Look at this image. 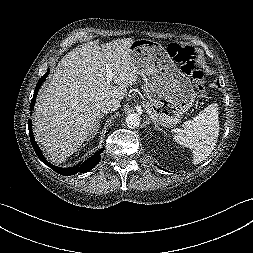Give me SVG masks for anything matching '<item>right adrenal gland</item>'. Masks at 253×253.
I'll use <instances>...</instances> for the list:
<instances>
[{
    "label": "right adrenal gland",
    "instance_id": "1",
    "mask_svg": "<svg viewBox=\"0 0 253 253\" xmlns=\"http://www.w3.org/2000/svg\"><path fill=\"white\" fill-rule=\"evenodd\" d=\"M104 117V114L100 115V118L97 122V125H96V128L94 129V133L96 134V132L98 131L99 127H100V124H101V118Z\"/></svg>",
    "mask_w": 253,
    "mask_h": 253
}]
</instances>
